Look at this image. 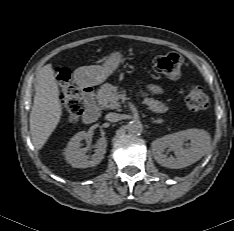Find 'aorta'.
<instances>
[{"label": "aorta", "instance_id": "762f6f07", "mask_svg": "<svg viewBox=\"0 0 234 231\" xmlns=\"http://www.w3.org/2000/svg\"><path fill=\"white\" fill-rule=\"evenodd\" d=\"M127 131L130 135L137 136L143 131V125L139 120L130 121L127 124Z\"/></svg>", "mask_w": 234, "mask_h": 231}]
</instances>
